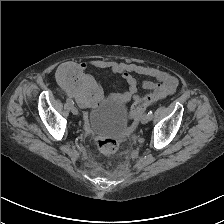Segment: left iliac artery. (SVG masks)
<instances>
[{"instance_id": "left-iliac-artery-1", "label": "left iliac artery", "mask_w": 224, "mask_h": 224, "mask_svg": "<svg viewBox=\"0 0 224 224\" xmlns=\"http://www.w3.org/2000/svg\"><path fill=\"white\" fill-rule=\"evenodd\" d=\"M148 115H149L150 119H152V117H153V111L150 110V111L148 112Z\"/></svg>"}]
</instances>
